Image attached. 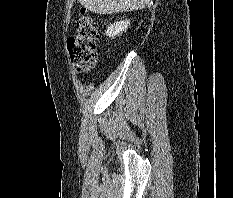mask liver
<instances>
[{
    "label": "liver",
    "mask_w": 233,
    "mask_h": 198,
    "mask_svg": "<svg viewBox=\"0 0 233 198\" xmlns=\"http://www.w3.org/2000/svg\"><path fill=\"white\" fill-rule=\"evenodd\" d=\"M93 13L105 15L143 9L150 0H78Z\"/></svg>",
    "instance_id": "1"
}]
</instances>
